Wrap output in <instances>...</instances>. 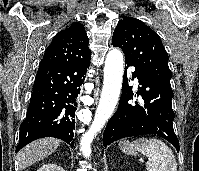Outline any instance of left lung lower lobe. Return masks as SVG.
<instances>
[{
	"mask_svg": "<svg viewBox=\"0 0 199 171\" xmlns=\"http://www.w3.org/2000/svg\"><path fill=\"white\" fill-rule=\"evenodd\" d=\"M130 66L133 65L125 61V70ZM133 77L138 78L140 85L135 96H141L144 105L128 103L133 99L132 87L123 79L119 106L105 128L103 145L107 147L125 137L152 134L166 139L179 151V141L173 129L172 88L136 68Z\"/></svg>",
	"mask_w": 199,
	"mask_h": 171,
	"instance_id": "1",
	"label": "left lung lower lobe"
}]
</instances>
